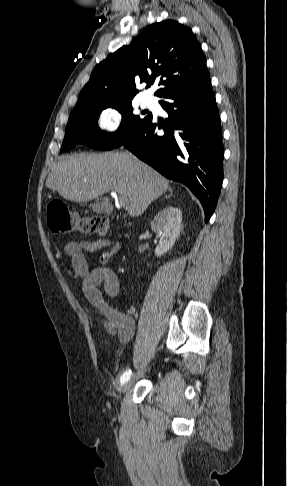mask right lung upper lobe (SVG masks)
<instances>
[{"instance_id": "cb5924a9", "label": "right lung upper lobe", "mask_w": 287, "mask_h": 486, "mask_svg": "<svg viewBox=\"0 0 287 486\" xmlns=\"http://www.w3.org/2000/svg\"><path fill=\"white\" fill-rule=\"evenodd\" d=\"M160 77V79H159ZM209 78L206 59L192 30L174 20L152 24L94 68L72 112L132 99L136 83L161 86L155 96L199 85Z\"/></svg>"}]
</instances>
